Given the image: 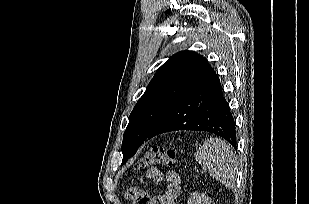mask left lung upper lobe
Instances as JSON below:
<instances>
[{
  "label": "left lung upper lobe",
  "mask_w": 309,
  "mask_h": 204,
  "mask_svg": "<svg viewBox=\"0 0 309 204\" xmlns=\"http://www.w3.org/2000/svg\"><path fill=\"white\" fill-rule=\"evenodd\" d=\"M215 76L203 56L182 51L170 57L156 72L145 93L133 108L122 142L125 164L162 115L177 101Z\"/></svg>",
  "instance_id": "obj_1"
}]
</instances>
